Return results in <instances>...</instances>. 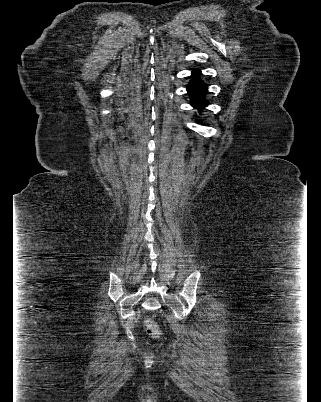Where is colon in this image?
<instances>
[{
	"mask_svg": "<svg viewBox=\"0 0 321 402\" xmlns=\"http://www.w3.org/2000/svg\"><path fill=\"white\" fill-rule=\"evenodd\" d=\"M144 327L147 333L154 337V338H159L161 337V331L158 327V325L151 319H146L144 322Z\"/></svg>",
	"mask_w": 321,
	"mask_h": 402,
	"instance_id": "1",
	"label": "colon"
}]
</instances>
